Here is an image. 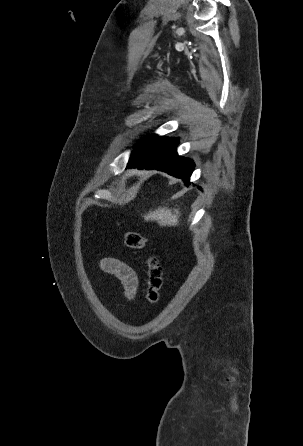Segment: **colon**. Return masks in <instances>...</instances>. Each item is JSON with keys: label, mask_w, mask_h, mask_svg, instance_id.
Here are the masks:
<instances>
[{"label": "colon", "mask_w": 303, "mask_h": 446, "mask_svg": "<svg viewBox=\"0 0 303 446\" xmlns=\"http://www.w3.org/2000/svg\"><path fill=\"white\" fill-rule=\"evenodd\" d=\"M124 242L128 248L133 250H143L146 246L145 237L135 231L126 232ZM145 264L147 267L146 298L149 303L155 304L159 300L160 290L163 284V270L155 255H147Z\"/></svg>", "instance_id": "obj_1"}]
</instances>
